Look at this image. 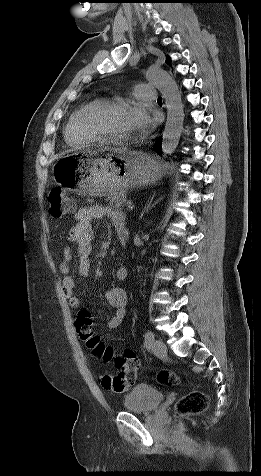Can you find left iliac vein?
Returning <instances> with one entry per match:
<instances>
[{"mask_svg":"<svg viewBox=\"0 0 261 476\" xmlns=\"http://www.w3.org/2000/svg\"><path fill=\"white\" fill-rule=\"evenodd\" d=\"M152 351L156 356H164L167 353V347L162 340H154L152 343Z\"/></svg>","mask_w":261,"mask_h":476,"instance_id":"obj_1","label":"left iliac vein"}]
</instances>
